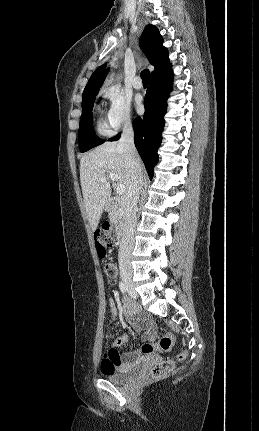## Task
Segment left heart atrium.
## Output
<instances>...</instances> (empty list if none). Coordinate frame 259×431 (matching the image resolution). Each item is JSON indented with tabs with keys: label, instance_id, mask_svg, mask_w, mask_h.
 Returning <instances> with one entry per match:
<instances>
[{
	"label": "left heart atrium",
	"instance_id": "1",
	"mask_svg": "<svg viewBox=\"0 0 259 431\" xmlns=\"http://www.w3.org/2000/svg\"><path fill=\"white\" fill-rule=\"evenodd\" d=\"M142 109H143V105H142L141 100L139 99V100L137 101V110H138V111H142Z\"/></svg>",
	"mask_w": 259,
	"mask_h": 431
}]
</instances>
